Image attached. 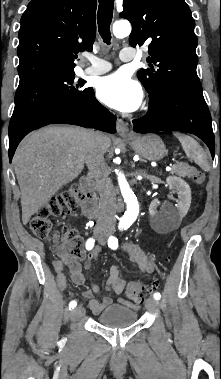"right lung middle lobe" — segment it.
Returning <instances> with one entry per match:
<instances>
[{"mask_svg": "<svg viewBox=\"0 0 221 379\" xmlns=\"http://www.w3.org/2000/svg\"><path fill=\"white\" fill-rule=\"evenodd\" d=\"M74 71L43 73L19 82L15 108L9 124V136L36 117L53 109L75 103L90 88L74 81Z\"/></svg>", "mask_w": 221, "mask_h": 379, "instance_id": "1", "label": "right lung middle lobe"}]
</instances>
